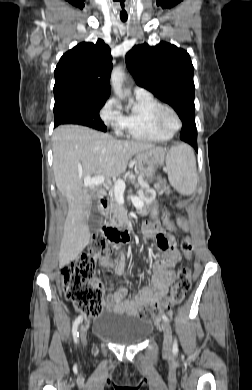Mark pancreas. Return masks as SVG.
<instances>
[{"label": "pancreas", "instance_id": "1", "mask_svg": "<svg viewBox=\"0 0 252 390\" xmlns=\"http://www.w3.org/2000/svg\"><path fill=\"white\" fill-rule=\"evenodd\" d=\"M154 198H155V197H151L150 202H143V203H144L143 207L138 209V212H139V216H140V217H147V216H148L149 206H150V204L153 202ZM110 201H111L112 211H113V212L117 211V210H118V204H117L115 192H112V193H111V195H110Z\"/></svg>", "mask_w": 252, "mask_h": 390}]
</instances>
